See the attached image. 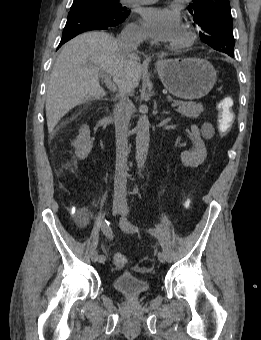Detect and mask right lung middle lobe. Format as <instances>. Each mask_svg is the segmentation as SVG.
I'll list each match as a JSON object with an SVG mask.
<instances>
[{
	"mask_svg": "<svg viewBox=\"0 0 261 340\" xmlns=\"http://www.w3.org/2000/svg\"><path fill=\"white\" fill-rule=\"evenodd\" d=\"M88 9L98 12L100 15L111 19H125L130 11L119 4V0H91L75 2L71 9ZM70 9V10H71Z\"/></svg>",
	"mask_w": 261,
	"mask_h": 340,
	"instance_id": "1",
	"label": "right lung middle lobe"
}]
</instances>
